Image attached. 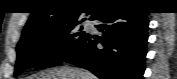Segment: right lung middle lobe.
<instances>
[{"mask_svg": "<svg viewBox=\"0 0 177 79\" xmlns=\"http://www.w3.org/2000/svg\"><path fill=\"white\" fill-rule=\"evenodd\" d=\"M78 22L37 30L22 37L17 45L15 75L28 68H48L61 64L88 36L71 34Z\"/></svg>", "mask_w": 177, "mask_h": 79, "instance_id": "right-lung-middle-lobe-1", "label": "right lung middle lobe"}]
</instances>
